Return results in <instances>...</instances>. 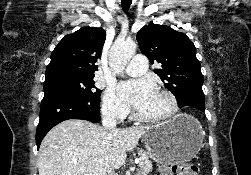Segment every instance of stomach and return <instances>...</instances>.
I'll return each mask as SVG.
<instances>
[{
  "instance_id": "obj_1",
  "label": "stomach",
  "mask_w": 251,
  "mask_h": 175,
  "mask_svg": "<svg viewBox=\"0 0 251 175\" xmlns=\"http://www.w3.org/2000/svg\"><path fill=\"white\" fill-rule=\"evenodd\" d=\"M204 129L193 115L178 113L162 125H150L143 135L148 155L163 165L196 157L203 145Z\"/></svg>"
}]
</instances>
